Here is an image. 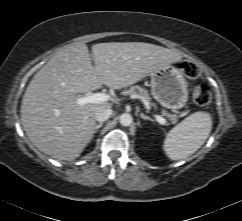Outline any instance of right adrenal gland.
Returning a JSON list of instances; mask_svg holds the SVG:
<instances>
[{
	"mask_svg": "<svg viewBox=\"0 0 242 221\" xmlns=\"http://www.w3.org/2000/svg\"><path fill=\"white\" fill-rule=\"evenodd\" d=\"M102 125H103V123H102V122H100L99 124H97V125L95 126V129H94V134L98 132L99 128H101V127H102Z\"/></svg>",
	"mask_w": 242,
	"mask_h": 221,
	"instance_id": "obj_1",
	"label": "right adrenal gland"
}]
</instances>
